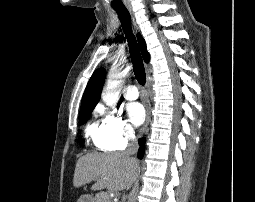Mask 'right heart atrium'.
<instances>
[{
	"mask_svg": "<svg viewBox=\"0 0 255 202\" xmlns=\"http://www.w3.org/2000/svg\"><path fill=\"white\" fill-rule=\"evenodd\" d=\"M103 115L104 146L109 150H121L127 147L134 138L130 123L115 111L99 109Z\"/></svg>",
	"mask_w": 255,
	"mask_h": 202,
	"instance_id": "d8ad5b80",
	"label": "right heart atrium"
}]
</instances>
